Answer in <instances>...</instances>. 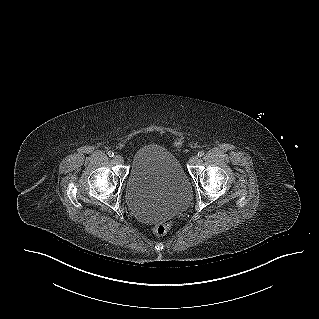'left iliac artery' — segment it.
Returning <instances> with one entry per match:
<instances>
[{
    "instance_id": "obj_1",
    "label": "left iliac artery",
    "mask_w": 319,
    "mask_h": 319,
    "mask_svg": "<svg viewBox=\"0 0 319 319\" xmlns=\"http://www.w3.org/2000/svg\"><path fill=\"white\" fill-rule=\"evenodd\" d=\"M197 156H198V157L204 156V152H203V151H199L198 154H197Z\"/></svg>"
}]
</instances>
